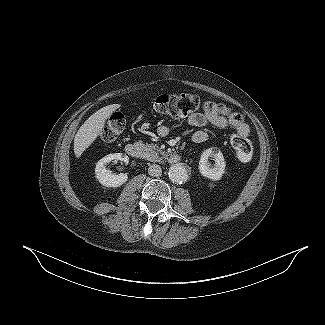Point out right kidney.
I'll list each match as a JSON object with an SVG mask.
<instances>
[{
	"label": "right kidney",
	"instance_id": "ca27d5eb",
	"mask_svg": "<svg viewBox=\"0 0 325 325\" xmlns=\"http://www.w3.org/2000/svg\"><path fill=\"white\" fill-rule=\"evenodd\" d=\"M115 159L123 161L126 164L129 162V158L126 154L114 153L103 157L96 163V178L103 186L119 187L128 180L127 174L120 173L118 175H114L112 171L106 169V164Z\"/></svg>",
	"mask_w": 325,
	"mask_h": 325
}]
</instances>
